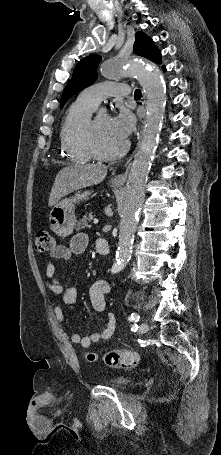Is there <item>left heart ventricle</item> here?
Listing matches in <instances>:
<instances>
[{"label": "left heart ventricle", "mask_w": 221, "mask_h": 455, "mask_svg": "<svg viewBox=\"0 0 221 455\" xmlns=\"http://www.w3.org/2000/svg\"><path fill=\"white\" fill-rule=\"evenodd\" d=\"M95 129L97 146L102 152H113L125 142L115 133L111 118L107 115H102L95 119Z\"/></svg>", "instance_id": "left-heart-ventricle-1"}]
</instances>
